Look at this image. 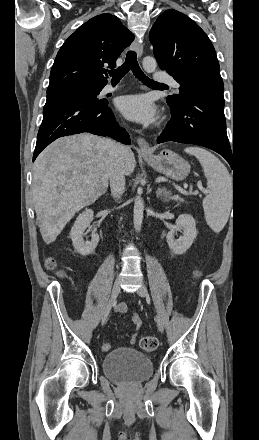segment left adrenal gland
Returning a JSON list of instances; mask_svg holds the SVG:
<instances>
[{
  "label": "left adrenal gland",
  "mask_w": 259,
  "mask_h": 440,
  "mask_svg": "<svg viewBox=\"0 0 259 440\" xmlns=\"http://www.w3.org/2000/svg\"><path fill=\"white\" fill-rule=\"evenodd\" d=\"M168 195H169V192L167 191V189L165 187L158 188L156 191V197L160 198L161 200L163 199V201H166Z\"/></svg>",
  "instance_id": "a2214340"
}]
</instances>
